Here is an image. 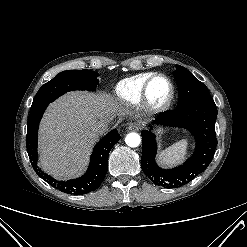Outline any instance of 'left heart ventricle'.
Segmentation results:
<instances>
[{
	"mask_svg": "<svg viewBox=\"0 0 247 247\" xmlns=\"http://www.w3.org/2000/svg\"><path fill=\"white\" fill-rule=\"evenodd\" d=\"M169 85L168 82L163 78L156 79L150 87V97L154 102H162L169 95Z\"/></svg>",
	"mask_w": 247,
	"mask_h": 247,
	"instance_id": "1",
	"label": "left heart ventricle"
}]
</instances>
